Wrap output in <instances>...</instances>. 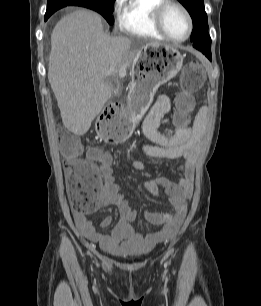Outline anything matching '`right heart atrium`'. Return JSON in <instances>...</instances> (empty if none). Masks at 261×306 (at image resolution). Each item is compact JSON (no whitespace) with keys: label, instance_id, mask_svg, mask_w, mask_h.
I'll return each instance as SVG.
<instances>
[{"label":"right heart atrium","instance_id":"right-heart-atrium-1","mask_svg":"<svg viewBox=\"0 0 261 306\" xmlns=\"http://www.w3.org/2000/svg\"><path fill=\"white\" fill-rule=\"evenodd\" d=\"M119 7H120V0H116L115 1V5H114V12H115V14L118 13Z\"/></svg>","mask_w":261,"mask_h":306}]
</instances>
